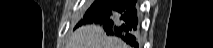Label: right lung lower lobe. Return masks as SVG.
<instances>
[{"mask_svg":"<svg viewBox=\"0 0 213 48\" xmlns=\"http://www.w3.org/2000/svg\"><path fill=\"white\" fill-rule=\"evenodd\" d=\"M135 2L136 0H95L78 26L88 23L102 25L107 35L120 37L131 46H137Z\"/></svg>","mask_w":213,"mask_h":48,"instance_id":"1","label":"right lung lower lobe"}]
</instances>
